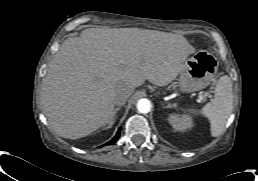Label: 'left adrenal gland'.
<instances>
[{"label": "left adrenal gland", "instance_id": "obj_1", "mask_svg": "<svg viewBox=\"0 0 258 181\" xmlns=\"http://www.w3.org/2000/svg\"><path fill=\"white\" fill-rule=\"evenodd\" d=\"M165 108H173V107H175V105L174 104H168L167 106H164Z\"/></svg>", "mask_w": 258, "mask_h": 181}]
</instances>
